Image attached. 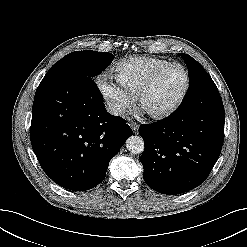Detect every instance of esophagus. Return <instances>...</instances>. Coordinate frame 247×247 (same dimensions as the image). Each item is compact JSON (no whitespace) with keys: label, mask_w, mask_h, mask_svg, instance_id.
<instances>
[{"label":"esophagus","mask_w":247,"mask_h":247,"mask_svg":"<svg viewBox=\"0 0 247 247\" xmlns=\"http://www.w3.org/2000/svg\"><path fill=\"white\" fill-rule=\"evenodd\" d=\"M129 125L131 126L133 132L136 134L139 130V125L135 122H129Z\"/></svg>","instance_id":"obj_1"}]
</instances>
